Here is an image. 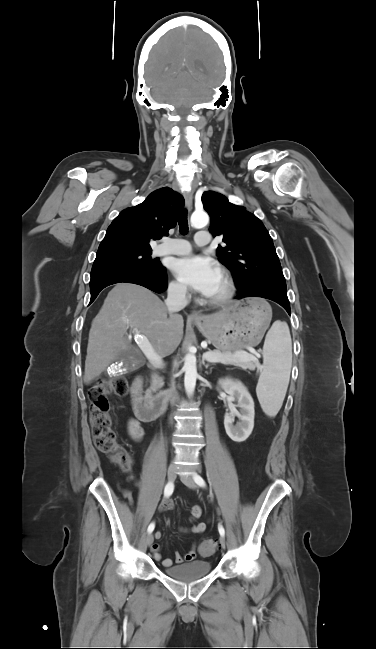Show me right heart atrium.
I'll list each match as a JSON object with an SVG mask.
<instances>
[{"label":"right heart atrium","instance_id":"d8ad5b80","mask_svg":"<svg viewBox=\"0 0 376 649\" xmlns=\"http://www.w3.org/2000/svg\"><path fill=\"white\" fill-rule=\"evenodd\" d=\"M170 296L176 300L184 301L188 297L187 288L178 281H171L168 285Z\"/></svg>","mask_w":376,"mask_h":649}]
</instances>
